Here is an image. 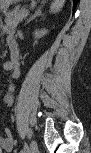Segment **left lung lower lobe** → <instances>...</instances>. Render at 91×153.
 I'll return each instance as SVG.
<instances>
[{"mask_svg":"<svg viewBox=\"0 0 91 153\" xmlns=\"http://www.w3.org/2000/svg\"><path fill=\"white\" fill-rule=\"evenodd\" d=\"M73 1H74V6H76V4H77L78 0H73Z\"/></svg>","mask_w":91,"mask_h":153,"instance_id":"left-lung-lower-lobe-1","label":"left lung lower lobe"}]
</instances>
